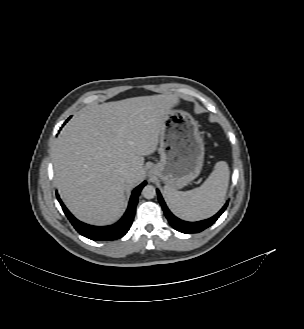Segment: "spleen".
<instances>
[{
    "mask_svg": "<svg viewBox=\"0 0 304 329\" xmlns=\"http://www.w3.org/2000/svg\"><path fill=\"white\" fill-rule=\"evenodd\" d=\"M229 175L227 163L220 161L198 188L182 192L165 186L164 192L171 210L187 221H198L214 215L223 205Z\"/></svg>",
    "mask_w": 304,
    "mask_h": 329,
    "instance_id": "3e777b00",
    "label": "spleen"
}]
</instances>
